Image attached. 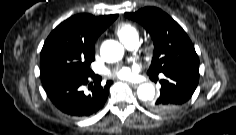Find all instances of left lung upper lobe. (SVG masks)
Wrapping results in <instances>:
<instances>
[{"instance_id":"1","label":"left lung upper lobe","mask_w":236,"mask_h":135,"mask_svg":"<svg viewBox=\"0 0 236 135\" xmlns=\"http://www.w3.org/2000/svg\"><path fill=\"white\" fill-rule=\"evenodd\" d=\"M139 22L151 35L154 54L147 74L163 73L199 61L194 45L182 27L168 14L155 7H145L135 13H125Z\"/></svg>"}]
</instances>
